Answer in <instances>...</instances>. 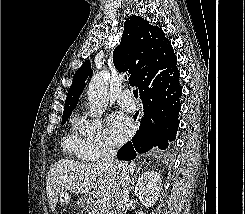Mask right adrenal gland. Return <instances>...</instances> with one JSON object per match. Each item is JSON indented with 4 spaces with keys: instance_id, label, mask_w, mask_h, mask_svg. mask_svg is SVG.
Here are the masks:
<instances>
[{
    "instance_id": "2a0ac1e0",
    "label": "right adrenal gland",
    "mask_w": 245,
    "mask_h": 214,
    "mask_svg": "<svg viewBox=\"0 0 245 214\" xmlns=\"http://www.w3.org/2000/svg\"><path fill=\"white\" fill-rule=\"evenodd\" d=\"M143 164H144V163H141V165L138 167L136 173H135L134 176L132 177L130 190L134 189L135 178L137 177V174H140V169H141V167H142Z\"/></svg>"
}]
</instances>
